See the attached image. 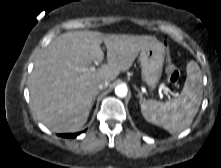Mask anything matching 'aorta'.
Instances as JSON below:
<instances>
[{"label":"aorta","instance_id":"762f6f07","mask_svg":"<svg viewBox=\"0 0 221 168\" xmlns=\"http://www.w3.org/2000/svg\"><path fill=\"white\" fill-rule=\"evenodd\" d=\"M127 92H128V89L125 85H118L115 88V94L118 97H121V98L125 97L127 95Z\"/></svg>","mask_w":221,"mask_h":168}]
</instances>
